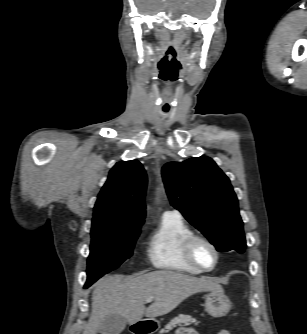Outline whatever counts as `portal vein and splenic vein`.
Returning a JSON list of instances; mask_svg holds the SVG:
<instances>
[{
  "mask_svg": "<svg viewBox=\"0 0 307 334\" xmlns=\"http://www.w3.org/2000/svg\"><path fill=\"white\" fill-rule=\"evenodd\" d=\"M151 301H153V298L146 299V303H150Z\"/></svg>",
  "mask_w": 307,
  "mask_h": 334,
  "instance_id": "1",
  "label": "portal vein and splenic vein"
}]
</instances>
